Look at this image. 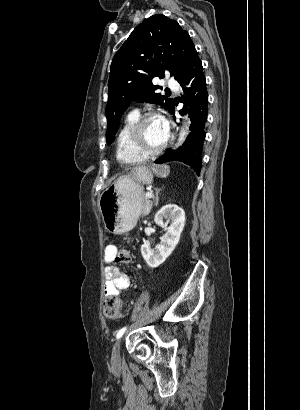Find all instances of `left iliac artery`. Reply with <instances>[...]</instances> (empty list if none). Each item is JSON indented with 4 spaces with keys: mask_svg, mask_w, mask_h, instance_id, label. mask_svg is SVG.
<instances>
[{
    "mask_svg": "<svg viewBox=\"0 0 300 410\" xmlns=\"http://www.w3.org/2000/svg\"><path fill=\"white\" fill-rule=\"evenodd\" d=\"M126 329H127V327L121 328V329L117 332L116 338L119 339L120 337H122V335L125 333Z\"/></svg>",
    "mask_w": 300,
    "mask_h": 410,
    "instance_id": "1",
    "label": "left iliac artery"
}]
</instances>
